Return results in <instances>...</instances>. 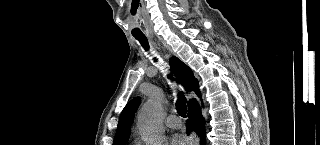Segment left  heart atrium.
Listing matches in <instances>:
<instances>
[{
    "label": "left heart atrium",
    "instance_id": "left-heart-atrium-1",
    "mask_svg": "<svg viewBox=\"0 0 320 145\" xmlns=\"http://www.w3.org/2000/svg\"><path fill=\"white\" fill-rule=\"evenodd\" d=\"M171 143L172 145H185L186 140L180 135H175L172 138Z\"/></svg>",
    "mask_w": 320,
    "mask_h": 145
}]
</instances>
